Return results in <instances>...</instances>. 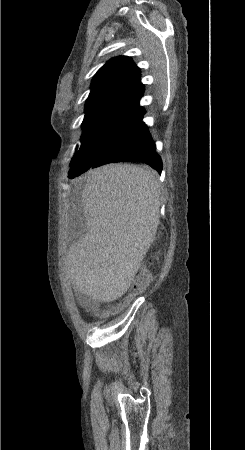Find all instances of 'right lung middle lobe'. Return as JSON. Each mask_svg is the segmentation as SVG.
I'll return each instance as SVG.
<instances>
[{
  "mask_svg": "<svg viewBox=\"0 0 245 450\" xmlns=\"http://www.w3.org/2000/svg\"><path fill=\"white\" fill-rule=\"evenodd\" d=\"M79 151L72 159L69 178L85 171L104 153L112 152L134 134L142 113L117 108L86 109Z\"/></svg>",
  "mask_w": 245,
  "mask_h": 450,
  "instance_id": "right-lung-middle-lobe-1",
  "label": "right lung middle lobe"
}]
</instances>
